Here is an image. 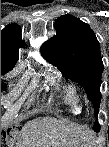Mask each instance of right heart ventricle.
<instances>
[{"label":"right heart ventricle","instance_id":"right-heart-ventricle-1","mask_svg":"<svg viewBox=\"0 0 109 147\" xmlns=\"http://www.w3.org/2000/svg\"><path fill=\"white\" fill-rule=\"evenodd\" d=\"M66 98L71 105L72 112L80 114L83 110L84 102L78 91L73 87H69L66 91Z\"/></svg>","mask_w":109,"mask_h":147}]
</instances>
